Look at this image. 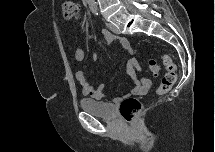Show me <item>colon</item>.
<instances>
[{
  "mask_svg": "<svg viewBox=\"0 0 215 152\" xmlns=\"http://www.w3.org/2000/svg\"><path fill=\"white\" fill-rule=\"evenodd\" d=\"M77 4L72 0H64L62 2V12L66 19H71L77 13ZM162 62L166 69V74L161 80L157 89L159 95L166 94L171 90L177 80V66L173 60L166 54L162 56ZM149 69L154 77H158L161 71L159 64L155 60L149 61ZM142 104L138 98L127 97L120 104V114L124 120L131 122L141 111Z\"/></svg>",
  "mask_w": 215,
  "mask_h": 152,
  "instance_id": "obj_1",
  "label": "colon"
}]
</instances>
